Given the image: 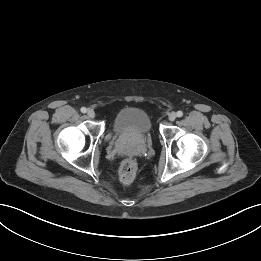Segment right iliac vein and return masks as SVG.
I'll return each instance as SVG.
<instances>
[{"instance_id": "63e3f726", "label": "right iliac vein", "mask_w": 261, "mask_h": 261, "mask_svg": "<svg viewBox=\"0 0 261 261\" xmlns=\"http://www.w3.org/2000/svg\"><path fill=\"white\" fill-rule=\"evenodd\" d=\"M87 115L89 118H94L95 117V112L92 109H89L87 111Z\"/></svg>"}]
</instances>
